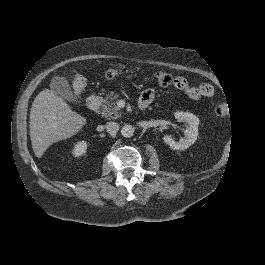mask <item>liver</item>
I'll list each match as a JSON object with an SVG mask.
<instances>
[{
  "label": "liver",
  "mask_w": 265,
  "mask_h": 265,
  "mask_svg": "<svg viewBox=\"0 0 265 265\" xmlns=\"http://www.w3.org/2000/svg\"><path fill=\"white\" fill-rule=\"evenodd\" d=\"M88 119L74 111L50 87L35 99L30 113V139L33 152L41 158L55 143L79 133Z\"/></svg>",
  "instance_id": "6515ba94"
}]
</instances>
